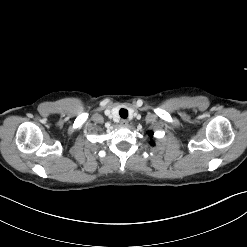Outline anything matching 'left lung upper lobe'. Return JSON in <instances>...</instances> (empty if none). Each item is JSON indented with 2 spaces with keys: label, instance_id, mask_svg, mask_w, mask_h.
I'll use <instances>...</instances> for the list:
<instances>
[{
  "label": "left lung upper lobe",
  "instance_id": "1",
  "mask_svg": "<svg viewBox=\"0 0 247 247\" xmlns=\"http://www.w3.org/2000/svg\"><path fill=\"white\" fill-rule=\"evenodd\" d=\"M149 136L152 137V136H153V132H149ZM150 144H151L152 146L155 145V143H154L153 141H152Z\"/></svg>",
  "mask_w": 247,
  "mask_h": 247
}]
</instances>
